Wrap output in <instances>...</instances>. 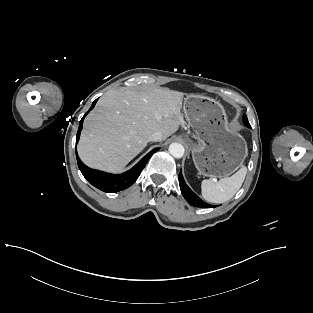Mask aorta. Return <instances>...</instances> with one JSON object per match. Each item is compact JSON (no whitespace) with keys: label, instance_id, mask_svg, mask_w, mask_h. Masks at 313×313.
I'll list each match as a JSON object with an SVG mask.
<instances>
[{"label":"aorta","instance_id":"aorta-1","mask_svg":"<svg viewBox=\"0 0 313 313\" xmlns=\"http://www.w3.org/2000/svg\"><path fill=\"white\" fill-rule=\"evenodd\" d=\"M184 146L180 143H172L169 146V153L175 158H181L184 155Z\"/></svg>","mask_w":313,"mask_h":313}]
</instances>
